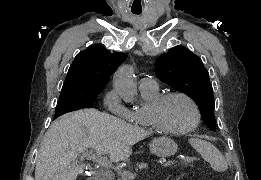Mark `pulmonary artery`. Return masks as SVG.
I'll return each instance as SVG.
<instances>
[{
	"mask_svg": "<svg viewBox=\"0 0 261 180\" xmlns=\"http://www.w3.org/2000/svg\"><path fill=\"white\" fill-rule=\"evenodd\" d=\"M139 87L140 89H153L157 87V82L151 77H141L139 79Z\"/></svg>",
	"mask_w": 261,
	"mask_h": 180,
	"instance_id": "obj_1",
	"label": "pulmonary artery"
}]
</instances>
